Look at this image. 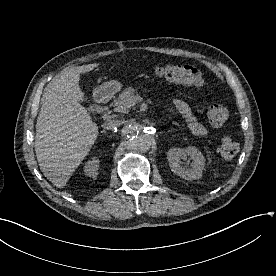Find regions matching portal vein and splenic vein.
<instances>
[{
  "instance_id": "18ae733b",
  "label": "portal vein and splenic vein",
  "mask_w": 276,
  "mask_h": 276,
  "mask_svg": "<svg viewBox=\"0 0 276 276\" xmlns=\"http://www.w3.org/2000/svg\"><path fill=\"white\" fill-rule=\"evenodd\" d=\"M137 102H143V98L137 96L124 102L116 103V112H126L130 107L134 106Z\"/></svg>"
}]
</instances>
